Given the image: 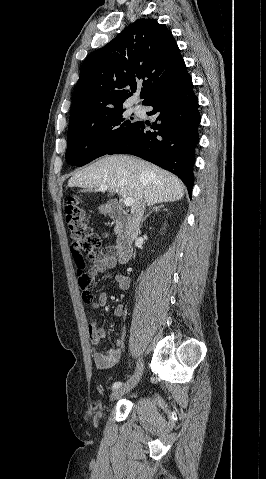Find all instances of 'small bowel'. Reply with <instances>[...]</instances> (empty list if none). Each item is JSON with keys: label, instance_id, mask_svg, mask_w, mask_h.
<instances>
[{"label": "small bowel", "instance_id": "c3829d8e", "mask_svg": "<svg viewBox=\"0 0 266 479\" xmlns=\"http://www.w3.org/2000/svg\"><path fill=\"white\" fill-rule=\"evenodd\" d=\"M117 266V261L112 253L111 249H107L102 252L97 260L95 261L94 265L90 269V273L93 276H97L98 274L106 271L107 269H112ZM113 282L120 290H126L129 287L130 280L124 274L118 273L113 276ZM107 294L100 293L98 298L95 302L91 304L92 309L94 312L102 311L105 306L107 305ZM114 315L116 317H124L125 316V308L123 305L119 304L114 308ZM88 335L90 342L92 344V358L97 368L99 369H108L118 363L121 359L122 355V346H123V339L117 338L115 340V347L111 349H107L105 351H100L98 349V345L102 339L106 337V331L101 328L98 324L96 318L92 319L88 325Z\"/></svg>", "mask_w": 266, "mask_h": 479}]
</instances>
